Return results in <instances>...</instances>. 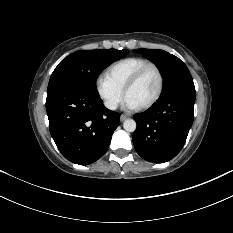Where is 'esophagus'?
Returning a JSON list of instances; mask_svg holds the SVG:
<instances>
[{"label": "esophagus", "mask_w": 233, "mask_h": 233, "mask_svg": "<svg viewBox=\"0 0 233 233\" xmlns=\"http://www.w3.org/2000/svg\"><path fill=\"white\" fill-rule=\"evenodd\" d=\"M127 118H128V116H126V115H121V116H120V121L123 122V121H125Z\"/></svg>", "instance_id": "obj_1"}]
</instances>
